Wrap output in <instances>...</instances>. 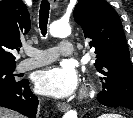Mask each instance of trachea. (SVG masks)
<instances>
[{
    "label": "trachea",
    "instance_id": "obj_1",
    "mask_svg": "<svg viewBox=\"0 0 133 118\" xmlns=\"http://www.w3.org/2000/svg\"><path fill=\"white\" fill-rule=\"evenodd\" d=\"M50 4L47 0H42L39 11V27L43 36L47 33Z\"/></svg>",
    "mask_w": 133,
    "mask_h": 118
}]
</instances>
